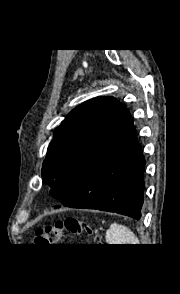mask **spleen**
<instances>
[{
    "label": "spleen",
    "instance_id": "1",
    "mask_svg": "<svg viewBox=\"0 0 180 294\" xmlns=\"http://www.w3.org/2000/svg\"><path fill=\"white\" fill-rule=\"evenodd\" d=\"M108 244H139L137 236L127 227L118 223H112L106 231Z\"/></svg>",
    "mask_w": 180,
    "mask_h": 294
}]
</instances>
